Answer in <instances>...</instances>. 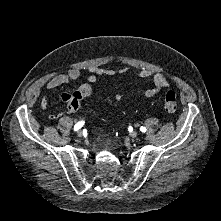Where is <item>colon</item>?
Wrapping results in <instances>:
<instances>
[{
  "mask_svg": "<svg viewBox=\"0 0 221 221\" xmlns=\"http://www.w3.org/2000/svg\"><path fill=\"white\" fill-rule=\"evenodd\" d=\"M92 88L90 86H82L74 95L72 100L73 106L76 108L79 106L80 101L91 94ZM164 107L165 110L172 114L177 109V98L176 94L173 91H169L165 94L164 97Z\"/></svg>",
  "mask_w": 221,
  "mask_h": 221,
  "instance_id": "obj_1",
  "label": "colon"
}]
</instances>
